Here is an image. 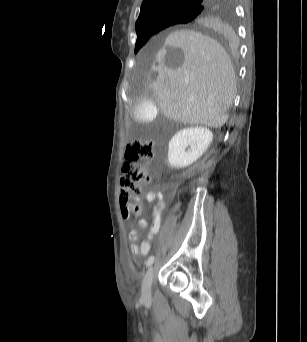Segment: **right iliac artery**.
Returning <instances> with one entry per match:
<instances>
[{
    "instance_id": "82829eb1",
    "label": "right iliac artery",
    "mask_w": 307,
    "mask_h": 342,
    "mask_svg": "<svg viewBox=\"0 0 307 342\" xmlns=\"http://www.w3.org/2000/svg\"><path fill=\"white\" fill-rule=\"evenodd\" d=\"M153 262H154V256H150L149 258H148V260H147V266H151L152 264H153Z\"/></svg>"
}]
</instances>
